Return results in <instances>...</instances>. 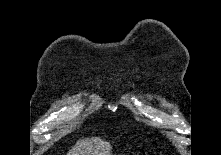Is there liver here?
<instances>
[{"label": "liver", "instance_id": "liver-1", "mask_svg": "<svg viewBox=\"0 0 221 155\" xmlns=\"http://www.w3.org/2000/svg\"><path fill=\"white\" fill-rule=\"evenodd\" d=\"M109 142L98 137L80 139L67 155H111Z\"/></svg>", "mask_w": 221, "mask_h": 155}]
</instances>
